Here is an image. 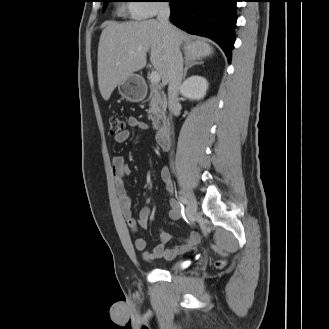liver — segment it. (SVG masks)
Returning <instances> with one entry per match:
<instances>
[{
    "label": "liver",
    "instance_id": "liver-1",
    "mask_svg": "<svg viewBox=\"0 0 329 329\" xmlns=\"http://www.w3.org/2000/svg\"><path fill=\"white\" fill-rule=\"evenodd\" d=\"M175 29L179 47L184 43L185 57L197 60L213 54V48L204 39L192 40ZM149 51L153 67L160 74L162 83L167 84L171 47L157 20L112 22L103 29L98 45V86L105 101L110 99L117 85L145 67Z\"/></svg>",
    "mask_w": 329,
    "mask_h": 329
}]
</instances>
